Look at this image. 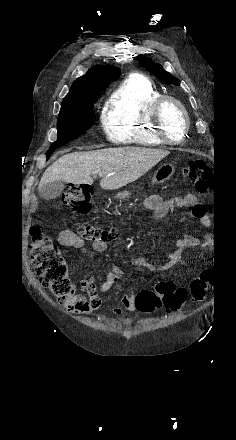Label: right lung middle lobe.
<instances>
[{
  "instance_id": "1",
  "label": "right lung middle lobe",
  "mask_w": 236,
  "mask_h": 440,
  "mask_svg": "<svg viewBox=\"0 0 236 440\" xmlns=\"http://www.w3.org/2000/svg\"><path fill=\"white\" fill-rule=\"evenodd\" d=\"M99 94L62 103L57 120L58 139L50 149L67 144L92 126L93 104Z\"/></svg>"
}]
</instances>
